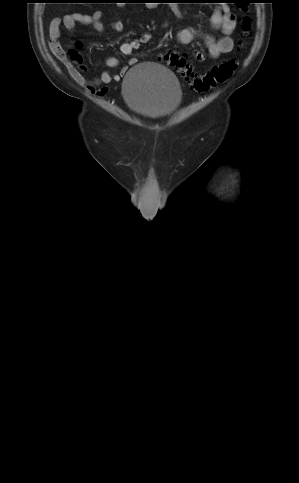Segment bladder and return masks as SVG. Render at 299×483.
<instances>
[{"mask_svg": "<svg viewBox=\"0 0 299 483\" xmlns=\"http://www.w3.org/2000/svg\"><path fill=\"white\" fill-rule=\"evenodd\" d=\"M122 96L134 112L150 119L169 116L182 102L174 73L152 62L129 69L122 82Z\"/></svg>", "mask_w": 299, "mask_h": 483, "instance_id": "31cf9c89", "label": "bladder"}]
</instances>
